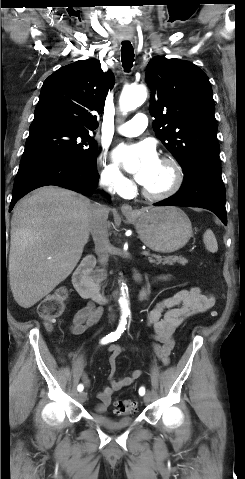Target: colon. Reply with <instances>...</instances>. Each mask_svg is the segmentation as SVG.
Returning <instances> with one entry per match:
<instances>
[{
    "label": "colon",
    "instance_id": "5ec220e1",
    "mask_svg": "<svg viewBox=\"0 0 245 479\" xmlns=\"http://www.w3.org/2000/svg\"><path fill=\"white\" fill-rule=\"evenodd\" d=\"M67 289L61 287L48 294L40 302L38 312L48 329H52L57 319L63 314L67 304ZM215 314V313H213ZM115 410L119 414H129L136 410L137 404L134 401L118 399L115 401Z\"/></svg>",
    "mask_w": 245,
    "mask_h": 479
}]
</instances>
